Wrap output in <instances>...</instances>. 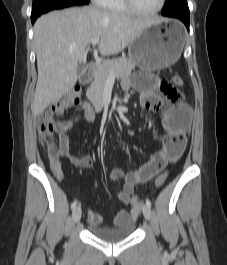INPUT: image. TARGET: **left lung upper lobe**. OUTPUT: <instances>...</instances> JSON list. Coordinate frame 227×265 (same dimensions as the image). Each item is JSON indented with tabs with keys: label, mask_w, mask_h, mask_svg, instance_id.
I'll list each match as a JSON object with an SVG mask.
<instances>
[{
	"label": "left lung upper lobe",
	"mask_w": 227,
	"mask_h": 265,
	"mask_svg": "<svg viewBox=\"0 0 227 265\" xmlns=\"http://www.w3.org/2000/svg\"><path fill=\"white\" fill-rule=\"evenodd\" d=\"M189 8L186 0H166L162 9L164 16H189Z\"/></svg>",
	"instance_id": "1"
}]
</instances>
